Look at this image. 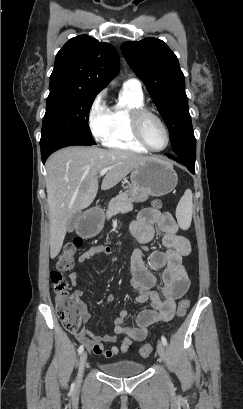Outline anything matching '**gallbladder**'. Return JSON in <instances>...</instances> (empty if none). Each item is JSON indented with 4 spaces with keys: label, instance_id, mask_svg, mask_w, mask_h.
<instances>
[{
    "label": "gallbladder",
    "instance_id": "bac80fb5",
    "mask_svg": "<svg viewBox=\"0 0 243 409\" xmlns=\"http://www.w3.org/2000/svg\"><path fill=\"white\" fill-rule=\"evenodd\" d=\"M81 216V212H77L70 220L68 221L67 230L68 232H73L76 229L78 220Z\"/></svg>",
    "mask_w": 243,
    "mask_h": 409
}]
</instances>
